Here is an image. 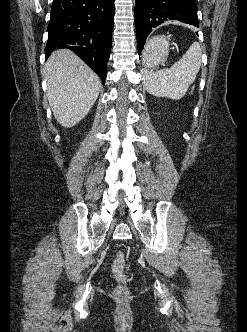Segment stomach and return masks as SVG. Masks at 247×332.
Listing matches in <instances>:
<instances>
[{"mask_svg": "<svg viewBox=\"0 0 247 332\" xmlns=\"http://www.w3.org/2000/svg\"><path fill=\"white\" fill-rule=\"evenodd\" d=\"M169 55V41L165 36L151 38L143 52V65L147 69H156Z\"/></svg>", "mask_w": 247, "mask_h": 332, "instance_id": "1", "label": "stomach"}]
</instances>
